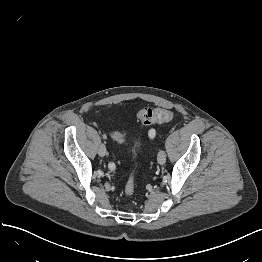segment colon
<instances>
[{
    "mask_svg": "<svg viewBox=\"0 0 262 262\" xmlns=\"http://www.w3.org/2000/svg\"><path fill=\"white\" fill-rule=\"evenodd\" d=\"M137 117L144 124H152L169 121L173 119L174 113L165 108H145L138 111ZM111 138L116 144H122L125 141V135L119 131L112 132ZM136 189L135 180L131 177L125 185V194L132 196L136 192Z\"/></svg>",
    "mask_w": 262,
    "mask_h": 262,
    "instance_id": "5ec220e1",
    "label": "colon"
}]
</instances>
